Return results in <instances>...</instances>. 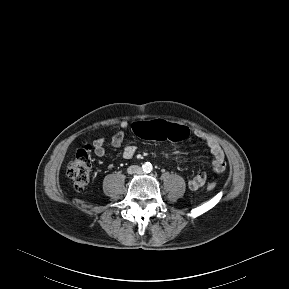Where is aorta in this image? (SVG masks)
<instances>
[{"mask_svg":"<svg viewBox=\"0 0 289 289\" xmlns=\"http://www.w3.org/2000/svg\"><path fill=\"white\" fill-rule=\"evenodd\" d=\"M143 170L145 172H150L152 170V164L151 163H146L143 165Z\"/></svg>","mask_w":289,"mask_h":289,"instance_id":"obj_1","label":"aorta"}]
</instances>
